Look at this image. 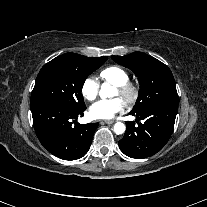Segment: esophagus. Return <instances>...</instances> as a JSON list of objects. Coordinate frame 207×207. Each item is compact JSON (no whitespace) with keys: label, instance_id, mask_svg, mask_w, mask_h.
<instances>
[{"label":"esophagus","instance_id":"34e87169","mask_svg":"<svg viewBox=\"0 0 207 207\" xmlns=\"http://www.w3.org/2000/svg\"><path fill=\"white\" fill-rule=\"evenodd\" d=\"M101 123H106V124H113V123H115V121L114 120H103V121H101Z\"/></svg>","mask_w":207,"mask_h":207}]
</instances>
